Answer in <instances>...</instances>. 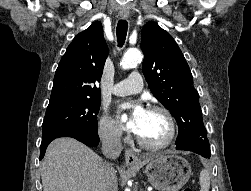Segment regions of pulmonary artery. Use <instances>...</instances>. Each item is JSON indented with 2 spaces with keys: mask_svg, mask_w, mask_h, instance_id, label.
<instances>
[{
  "mask_svg": "<svg viewBox=\"0 0 251 191\" xmlns=\"http://www.w3.org/2000/svg\"><path fill=\"white\" fill-rule=\"evenodd\" d=\"M144 80L142 75L137 72H131L128 77L111 87V92L114 95L124 96L133 93H138L143 89Z\"/></svg>",
  "mask_w": 251,
  "mask_h": 191,
  "instance_id": "1",
  "label": "pulmonary artery"
}]
</instances>
